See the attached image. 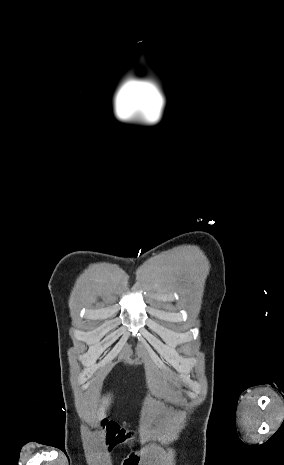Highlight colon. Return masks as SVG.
Instances as JSON below:
<instances>
[{"mask_svg":"<svg viewBox=\"0 0 284 465\" xmlns=\"http://www.w3.org/2000/svg\"><path fill=\"white\" fill-rule=\"evenodd\" d=\"M106 434L112 444L111 448L115 445L120 444L123 441H129L136 438V434L133 432H126L120 428L116 423L110 422L105 426ZM139 443V441H137ZM111 453V450L109 454ZM138 455L133 454L131 459L126 462V465H136Z\"/></svg>","mask_w":284,"mask_h":465,"instance_id":"obj_1","label":"colon"}]
</instances>
